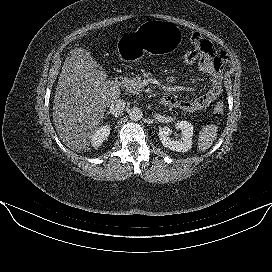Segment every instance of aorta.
Returning a JSON list of instances; mask_svg holds the SVG:
<instances>
[{"label":"aorta","instance_id":"762f6f07","mask_svg":"<svg viewBox=\"0 0 272 272\" xmlns=\"http://www.w3.org/2000/svg\"><path fill=\"white\" fill-rule=\"evenodd\" d=\"M143 116L142 110L138 107H133L129 111V117L132 121H139Z\"/></svg>","mask_w":272,"mask_h":272}]
</instances>
